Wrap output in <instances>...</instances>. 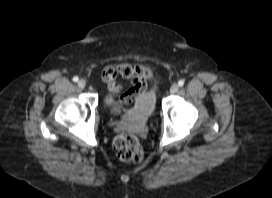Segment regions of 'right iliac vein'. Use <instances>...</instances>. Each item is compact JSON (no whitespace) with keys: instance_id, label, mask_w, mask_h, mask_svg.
<instances>
[{"instance_id":"obj_1","label":"right iliac vein","mask_w":272,"mask_h":198,"mask_svg":"<svg viewBox=\"0 0 272 198\" xmlns=\"http://www.w3.org/2000/svg\"><path fill=\"white\" fill-rule=\"evenodd\" d=\"M78 86H79L80 88H85V86H86V81H85L84 79H80V80L78 81Z\"/></svg>"}]
</instances>
